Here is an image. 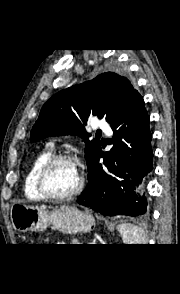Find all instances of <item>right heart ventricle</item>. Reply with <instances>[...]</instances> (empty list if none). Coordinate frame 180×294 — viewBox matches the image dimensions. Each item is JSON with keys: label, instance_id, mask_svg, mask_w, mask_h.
<instances>
[{"label": "right heart ventricle", "instance_id": "obj_1", "mask_svg": "<svg viewBox=\"0 0 180 294\" xmlns=\"http://www.w3.org/2000/svg\"><path fill=\"white\" fill-rule=\"evenodd\" d=\"M52 156V151L50 149H47L43 152H41L40 154H38L26 176H25V179H24V185H23V190H24V193L27 197H30V198H34V199H43V197L39 194L37 188H36V176H37V172L38 170L40 169V167Z\"/></svg>", "mask_w": 180, "mask_h": 294}]
</instances>
